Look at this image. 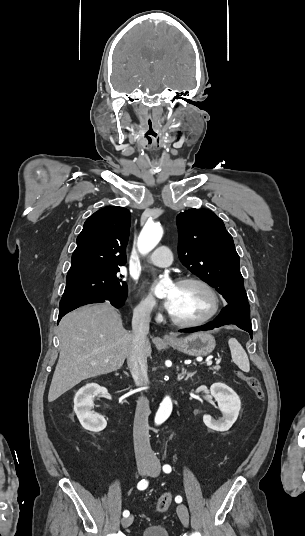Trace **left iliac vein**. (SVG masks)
Returning <instances> with one entry per match:
<instances>
[{
    "instance_id": "1",
    "label": "left iliac vein",
    "mask_w": 305,
    "mask_h": 536,
    "mask_svg": "<svg viewBox=\"0 0 305 536\" xmlns=\"http://www.w3.org/2000/svg\"><path fill=\"white\" fill-rule=\"evenodd\" d=\"M160 472V467L159 466H154L152 469H150L148 471V475L150 476H157L158 473ZM177 514L181 520V522L184 524V526H188L189 524V513H188V509L185 505L183 504H179L177 506Z\"/></svg>"
}]
</instances>
